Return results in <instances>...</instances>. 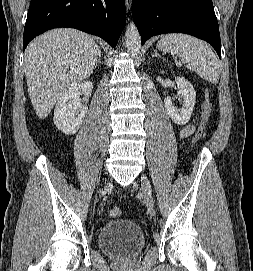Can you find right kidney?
I'll use <instances>...</instances> for the list:
<instances>
[{
	"label": "right kidney",
	"instance_id": "obj_1",
	"mask_svg": "<svg viewBox=\"0 0 253 271\" xmlns=\"http://www.w3.org/2000/svg\"><path fill=\"white\" fill-rule=\"evenodd\" d=\"M93 83L84 81L70 87L57 101L54 110V124L66 135L75 134L87 113V105L80 102V95L91 96Z\"/></svg>",
	"mask_w": 253,
	"mask_h": 271
}]
</instances>
